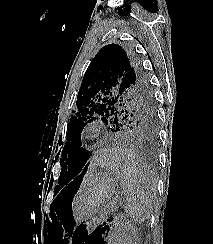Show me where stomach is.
Masks as SVG:
<instances>
[{
  "label": "stomach",
  "instance_id": "stomach-1",
  "mask_svg": "<svg viewBox=\"0 0 213 244\" xmlns=\"http://www.w3.org/2000/svg\"><path fill=\"white\" fill-rule=\"evenodd\" d=\"M109 169V167H108ZM109 169L89 177L87 183L80 188L78 194L77 220L84 221L100 213L112 198L117 178Z\"/></svg>",
  "mask_w": 213,
  "mask_h": 244
}]
</instances>
